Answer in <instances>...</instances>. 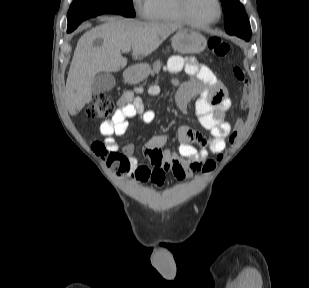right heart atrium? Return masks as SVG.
Returning a JSON list of instances; mask_svg holds the SVG:
<instances>
[{"instance_id": "right-heart-atrium-1", "label": "right heart atrium", "mask_w": 309, "mask_h": 288, "mask_svg": "<svg viewBox=\"0 0 309 288\" xmlns=\"http://www.w3.org/2000/svg\"><path fill=\"white\" fill-rule=\"evenodd\" d=\"M146 0H132L133 7L139 12L143 13Z\"/></svg>"}]
</instances>
